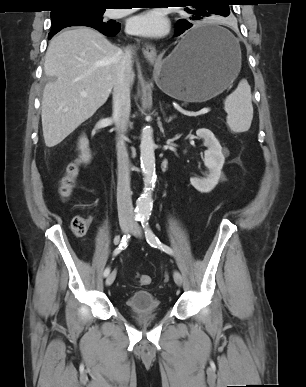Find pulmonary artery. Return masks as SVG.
Returning a JSON list of instances; mask_svg holds the SVG:
<instances>
[{"label":"pulmonary artery","instance_id":"obj_1","mask_svg":"<svg viewBox=\"0 0 306 387\" xmlns=\"http://www.w3.org/2000/svg\"><path fill=\"white\" fill-rule=\"evenodd\" d=\"M132 11H133L132 9H113L109 11L108 15L113 18H118V17L125 16L131 13Z\"/></svg>","mask_w":306,"mask_h":387}]
</instances>
